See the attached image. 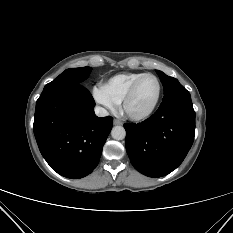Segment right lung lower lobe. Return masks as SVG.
Listing matches in <instances>:
<instances>
[{"label": "right lung lower lobe", "mask_w": 233, "mask_h": 233, "mask_svg": "<svg viewBox=\"0 0 233 233\" xmlns=\"http://www.w3.org/2000/svg\"><path fill=\"white\" fill-rule=\"evenodd\" d=\"M94 99L81 84L44 88L36 102L34 135L58 174L78 179L98 165L113 118L97 117Z\"/></svg>", "instance_id": "right-lung-lower-lobe-1"}]
</instances>
